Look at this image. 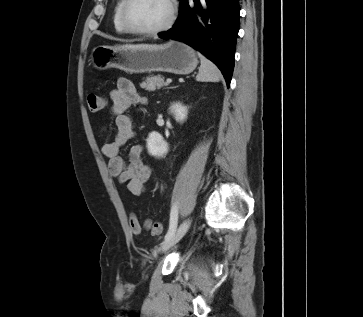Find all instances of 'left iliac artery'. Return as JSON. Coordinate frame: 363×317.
Wrapping results in <instances>:
<instances>
[{"label": "left iliac artery", "instance_id": "1", "mask_svg": "<svg viewBox=\"0 0 363 317\" xmlns=\"http://www.w3.org/2000/svg\"><path fill=\"white\" fill-rule=\"evenodd\" d=\"M178 221V208L177 205H173L170 213L169 230L165 236V241L170 239L176 231Z\"/></svg>", "mask_w": 363, "mask_h": 317}]
</instances>
